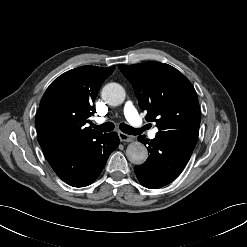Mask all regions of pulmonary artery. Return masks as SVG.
<instances>
[{
  "label": "pulmonary artery",
  "instance_id": "obj_1",
  "mask_svg": "<svg viewBox=\"0 0 247 247\" xmlns=\"http://www.w3.org/2000/svg\"><path fill=\"white\" fill-rule=\"evenodd\" d=\"M124 115L127 119V121L136 129L144 130V121L139 115L137 109L135 108L134 104L131 101H128L124 105ZM102 119H98L97 122H102ZM157 129L154 128L152 130L148 131V136L150 139H153L156 137Z\"/></svg>",
  "mask_w": 247,
  "mask_h": 247
}]
</instances>
